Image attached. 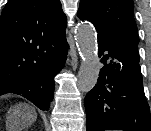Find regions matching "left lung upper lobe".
Instances as JSON below:
<instances>
[{"label": "left lung upper lobe", "mask_w": 151, "mask_h": 131, "mask_svg": "<svg viewBox=\"0 0 151 131\" xmlns=\"http://www.w3.org/2000/svg\"><path fill=\"white\" fill-rule=\"evenodd\" d=\"M132 0H81L77 16L90 21L98 39L105 41L119 55L139 63L137 26Z\"/></svg>", "instance_id": "obj_1"}]
</instances>
